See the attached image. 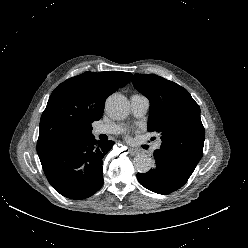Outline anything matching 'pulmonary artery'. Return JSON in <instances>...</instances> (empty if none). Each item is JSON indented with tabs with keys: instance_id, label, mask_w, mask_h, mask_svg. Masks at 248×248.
<instances>
[{
	"instance_id": "pulmonary-artery-1",
	"label": "pulmonary artery",
	"mask_w": 248,
	"mask_h": 248,
	"mask_svg": "<svg viewBox=\"0 0 248 248\" xmlns=\"http://www.w3.org/2000/svg\"><path fill=\"white\" fill-rule=\"evenodd\" d=\"M131 102V109L132 114L135 118H142L145 116L149 109V100L142 95H133L130 99ZM123 131V128L121 125L110 123V124H102L93 129V134L95 136L101 135V134H119ZM160 146L159 143H157L154 146V149H158Z\"/></svg>"
}]
</instances>
